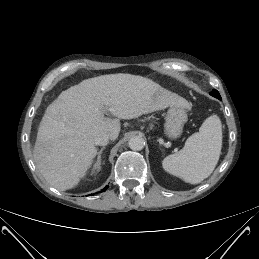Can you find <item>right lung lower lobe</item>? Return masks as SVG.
Masks as SVG:
<instances>
[{"label": "right lung lower lobe", "instance_id": "98d812e1", "mask_svg": "<svg viewBox=\"0 0 259 259\" xmlns=\"http://www.w3.org/2000/svg\"><path fill=\"white\" fill-rule=\"evenodd\" d=\"M108 188V186H106L102 191H105Z\"/></svg>", "mask_w": 259, "mask_h": 259}]
</instances>
